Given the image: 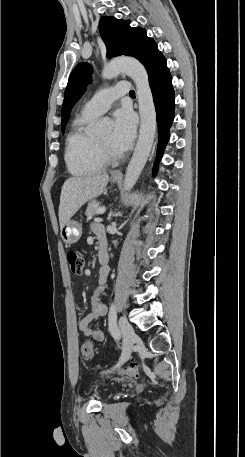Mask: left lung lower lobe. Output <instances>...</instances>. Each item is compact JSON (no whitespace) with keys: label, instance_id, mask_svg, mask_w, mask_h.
Here are the masks:
<instances>
[{"label":"left lung lower lobe","instance_id":"1","mask_svg":"<svg viewBox=\"0 0 245 457\" xmlns=\"http://www.w3.org/2000/svg\"><path fill=\"white\" fill-rule=\"evenodd\" d=\"M141 63L148 73L157 115L158 147L154 167L155 174L157 172V162L162 157L164 148L169 140V129L174 120V90L166 59L158 49L148 54Z\"/></svg>","mask_w":245,"mask_h":457}]
</instances>
